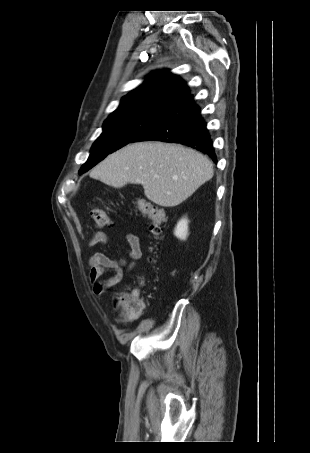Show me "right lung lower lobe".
Listing matches in <instances>:
<instances>
[{
    "mask_svg": "<svg viewBox=\"0 0 310 453\" xmlns=\"http://www.w3.org/2000/svg\"><path fill=\"white\" fill-rule=\"evenodd\" d=\"M150 140L180 143L209 155L217 162L201 110L190 94L169 107L134 142Z\"/></svg>",
    "mask_w": 310,
    "mask_h": 453,
    "instance_id": "98d812e1",
    "label": "right lung lower lobe"
}]
</instances>
